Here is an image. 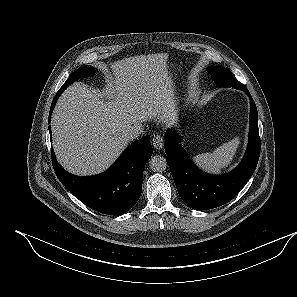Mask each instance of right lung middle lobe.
Returning <instances> with one entry per match:
<instances>
[{"label":"right lung middle lobe","instance_id":"dd1d6c3e","mask_svg":"<svg viewBox=\"0 0 297 297\" xmlns=\"http://www.w3.org/2000/svg\"><path fill=\"white\" fill-rule=\"evenodd\" d=\"M95 73L94 68L82 67L73 72L69 79L63 84L62 88L66 89L70 84L79 78L92 77Z\"/></svg>","mask_w":297,"mask_h":297}]
</instances>
